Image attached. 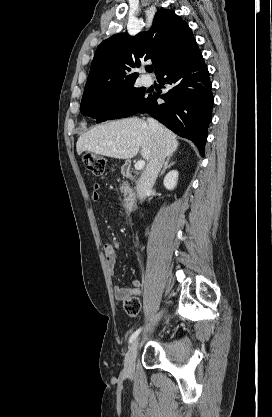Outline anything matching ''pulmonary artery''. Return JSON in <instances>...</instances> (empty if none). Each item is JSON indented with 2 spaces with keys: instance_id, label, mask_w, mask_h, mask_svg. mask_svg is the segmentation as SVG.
Instances as JSON below:
<instances>
[{
  "instance_id": "e3ab8cb5",
  "label": "pulmonary artery",
  "mask_w": 272,
  "mask_h": 417,
  "mask_svg": "<svg viewBox=\"0 0 272 417\" xmlns=\"http://www.w3.org/2000/svg\"><path fill=\"white\" fill-rule=\"evenodd\" d=\"M151 80L150 79H148V78H145L144 79V83L146 84V85H150L151 84Z\"/></svg>"
}]
</instances>
